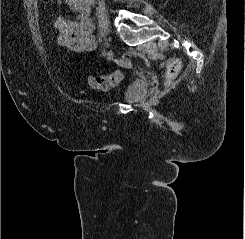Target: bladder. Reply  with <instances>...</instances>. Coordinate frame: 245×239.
<instances>
[{"label": "bladder", "instance_id": "obj_1", "mask_svg": "<svg viewBox=\"0 0 245 239\" xmlns=\"http://www.w3.org/2000/svg\"><path fill=\"white\" fill-rule=\"evenodd\" d=\"M148 92L149 84L134 82L124 89L122 98L126 103L136 104L144 100Z\"/></svg>", "mask_w": 245, "mask_h": 239}]
</instances>
